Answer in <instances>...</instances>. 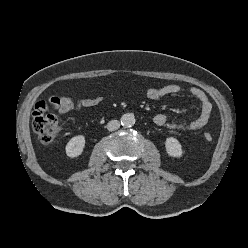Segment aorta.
<instances>
[{
	"label": "aorta",
	"instance_id": "1",
	"mask_svg": "<svg viewBox=\"0 0 248 248\" xmlns=\"http://www.w3.org/2000/svg\"><path fill=\"white\" fill-rule=\"evenodd\" d=\"M121 124L124 127H132L135 124V116L133 113H125L121 117Z\"/></svg>",
	"mask_w": 248,
	"mask_h": 248
}]
</instances>
